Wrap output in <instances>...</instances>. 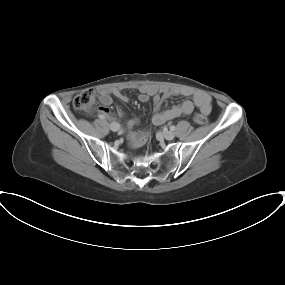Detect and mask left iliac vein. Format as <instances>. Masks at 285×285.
<instances>
[{"mask_svg": "<svg viewBox=\"0 0 285 285\" xmlns=\"http://www.w3.org/2000/svg\"><path fill=\"white\" fill-rule=\"evenodd\" d=\"M163 136L167 140H173L175 137V134L172 131H163Z\"/></svg>", "mask_w": 285, "mask_h": 285, "instance_id": "left-iliac-vein-1", "label": "left iliac vein"}]
</instances>
